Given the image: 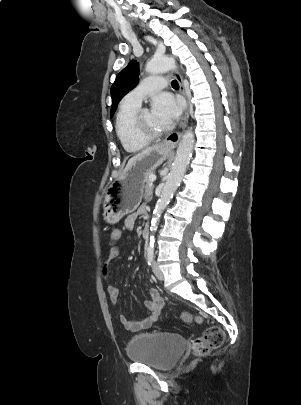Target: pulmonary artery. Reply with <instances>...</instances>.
<instances>
[{
  "label": "pulmonary artery",
  "mask_w": 301,
  "mask_h": 405,
  "mask_svg": "<svg viewBox=\"0 0 301 405\" xmlns=\"http://www.w3.org/2000/svg\"><path fill=\"white\" fill-rule=\"evenodd\" d=\"M166 85L167 82L164 77L149 76L124 97L123 103L139 107L147 95L166 87Z\"/></svg>",
  "instance_id": "e3ab8cb5"
}]
</instances>
